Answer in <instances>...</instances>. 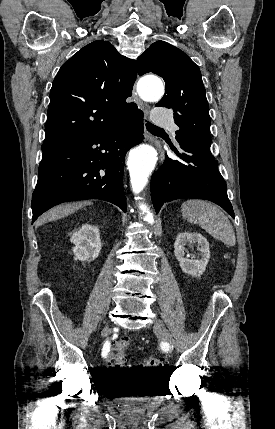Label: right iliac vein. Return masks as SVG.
Instances as JSON below:
<instances>
[{"label":"right iliac vein","instance_id":"63e3f726","mask_svg":"<svg viewBox=\"0 0 275 429\" xmlns=\"http://www.w3.org/2000/svg\"><path fill=\"white\" fill-rule=\"evenodd\" d=\"M110 330L109 329H104L103 330V335L107 336L109 334Z\"/></svg>","mask_w":275,"mask_h":429}]
</instances>
